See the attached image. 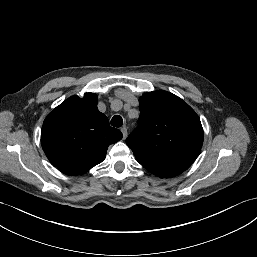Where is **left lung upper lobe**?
Masks as SVG:
<instances>
[{"mask_svg":"<svg viewBox=\"0 0 257 257\" xmlns=\"http://www.w3.org/2000/svg\"><path fill=\"white\" fill-rule=\"evenodd\" d=\"M139 103V127L126 140L137 161L152 173L185 171L203 143L198 115L166 91L145 93Z\"/></svg>","mask_w":257,"mask_h":257,"instance_id":"1","label":"left lung upper lobe"}]
</instances>
